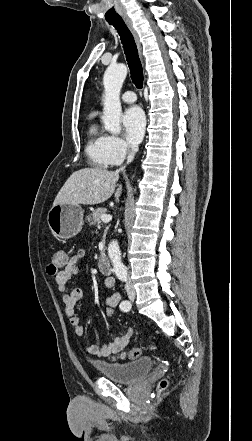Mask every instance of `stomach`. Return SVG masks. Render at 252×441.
I'll use <instances>...</instances> for the list:
<instances>
[{
	"mask_svg": "<svg viewBox=\"0 0 252 441\" xmlns=\"http://www.w3.org/2000/svg\"><path fill=\"white\" fill-rule=\"evenodd\" d=\"M84 220V211L78 204H56L47 214V223L51 232L54 236L65 240L81 231Z\"/></svg>",
	"mask_w": 252,
	"mask_h": 441,
	"instance_id": "1",
	"label": "stomach"
}]
</instances>
